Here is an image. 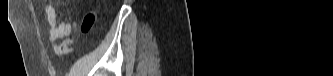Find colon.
I'll list each match as a JSON object with an SVG mask.
<instances>
[{
    "mask_svg": "<svg viewBox=\"0 0 333 76\" xmlns=\"http://www.w3.org/2000/svg\"><path fill=\"white\" fill-rule=\"evenodd\" d=\"M95 23V15L92 12L87 13L81 22L80 25V32L82 34H88ZM72 45V40L71 39H66L63 42H61L57 47H56V52L59 55H64L70 51Z\"/></svg>",
    "mask_w": 333,
    "mask_h": 76,
    "instance_id": "obj_1",
    "label": "colon"
}]
</instances>
